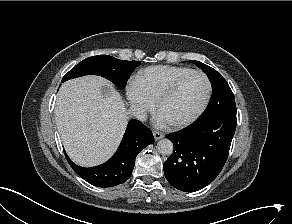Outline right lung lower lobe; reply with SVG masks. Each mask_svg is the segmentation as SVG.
Segmentation results:
<instances>
[{
    "label": "right lung lower lobe",
    "mask_w": 292,
    "mask_h": 224,
    "mask_svg": "<svg viewBox=\"0 0 292 224\" xmlns=\"http://www.w3.org/2000/svg\"><path fill=\"white\" fill-rule=\"evenodd\" d=\"M154 143L151 131L140 121L131 120L116 153L104 164L84 168L73 163L66 155L72 169L85 181L97 187H112L131 177L137 154Z\"/></svg>",
    "instance_id": "right-lung-lower-lobe-1"
}]
</instances>
